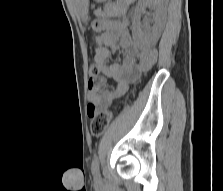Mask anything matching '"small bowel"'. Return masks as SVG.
<instances>
[{"instance_id": "1", "label": "small bowel", "mask_w": 223, "mask_h": 191, "mask_svg": "<svg viewBox=\"0 0 223 191\" xmlns=\"http://www.w3.org/2000/svg\"><path fill=\"white\" fill-rule=\"evenodd\" d=\"M117 6H109L104 10H98V18L93 21L92 29L101 33V41L104 48L96 49L95 63L103 76L91 78L89 82L90 108H103L123 95L129 86L140 73L150 70L157 61L158 51L156 48H142L132 37L127 29V21L114 20L113 14H117ZM121 49L125 57L120 63H108L110 52ZM105 77L113 79L117 83L115 89L103 88ZM90 112V111H89Z\"/></svg>"}]
</instances>
